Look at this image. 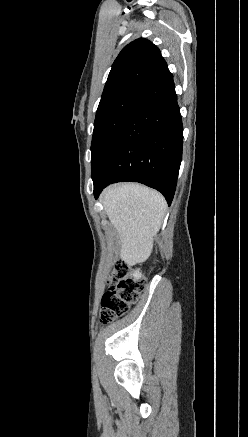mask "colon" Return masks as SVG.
I'll use <instances>...</instances> for the list:
<instances>
[{"instance_id": "1", "label": "colon", "mask_w": 248, "mask_h": 437, "mask_svg": "<svg viewBox=\"0 0 248 437\" xmlns=\"http://www.w3.org/2000/svg\"><path fill=\"white\" fill-rule=\"evenodd\" d=\"M144 283L131 275L128 263H118L108 280L107 290L102 297L100 321L108 324L126 314L134 305L142 291Z\"/></svg>"}]
</instances>
